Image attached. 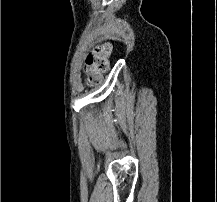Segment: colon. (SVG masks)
<instances>
[{
  "instance_id": "obj_1",
  "label": "colon",
  "mask_w": 217,
  "mask_h": 202,
  "mask_svg": "<svg viewBox=\"0 0 217 202\" xmlns=\"http://www.w3.org/2000/svg\"><path fill=\"white\" fill-rule=\"evenodd\" d=\"M95 46L86 56L83 67L87 81L91 84L100 83L109 70V57L113 50L111 42L100 45V41H95Z\"/></svg>"
}]
</instances>
